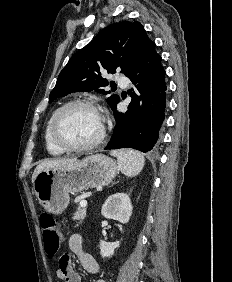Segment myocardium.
Returning <instances> with one entry per match:
<instances>
[{
  "mask_svg": "<svg viewBox=\"0 0 232 282\" xmlns=\"http://www.w3.org/2000/svg\"><path fill=\"white\" fill-rule=\"evenodd\" d=\"M74 106H84L93 109L96 111L102 121V128L99 136L92 142L83 144V145H70L65 142H63L57 135V123L60 118V116L69 108L74 107ZM50 136L53 141V143L60 148L63 151L66 152H82V151H88L91 149H94L98 147L105 139L106 137V127L104 124V121L101 117L100 111L98 106L96 105L95 102L87 99H77V100H71L65 104H63L60 108L56 110V112L53 114L50 122Z\"/></svg>",
  "mask_w": 232,
  "mask_h": 282,
  "instance_id": "f54148a6",
  "label": "myocardium"
}]
</instances>
